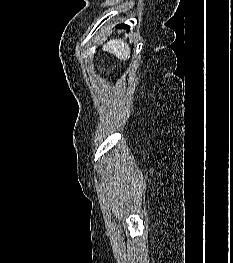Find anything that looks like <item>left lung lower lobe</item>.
<instances>
[{"label":"left lung lower lobe","mask_w":233,"mask_h":263,"mask_svg":"<svg viewBox=\"0 0 233 263\" xmlns=\"http://www.w3.org/2000/svg\"><path fill=\"white\" fill-rule=\"evenodd\" d=\"M118 27H123V28H128V31H129V28H130V26H128V25H125V24H119L118 25Z\"/></svg>","instance_id":"0a47b994"}]
</instances>
